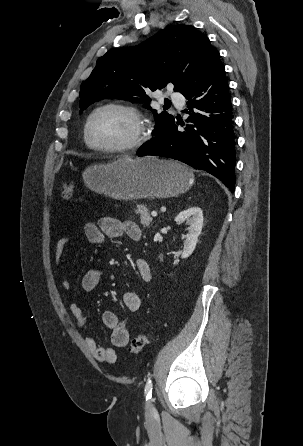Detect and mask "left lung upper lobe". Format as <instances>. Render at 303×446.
I'll return each instance as SVG.
<instances>
[{
  "instance_id": "left-lung-upper-lobe-1",
  "label": "left lung upper lobe",
  "mask_w": 303,
  "mask_h": 446,
  "mask_svg": "<svg viewBox=\"0 0 303 446\" xmlns=\"http://www.w3.org/2000/svg\"><path fill=\"white\" fill-rule=\"evenodd\" d=\"M217 53L209 38L189 25L164 29L138 46L109 50L82 82L80 108L84 110L95 101L109 98L149 102L145 89L154 91L168 83L183 93L194 85V79L201 77ZM186 65L194 78L182 73ZM145 106L150 109L148 104ZM152 111L157 122L155 136L174 117Z\"/></svg>"
}]
</instances>
